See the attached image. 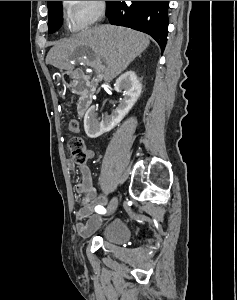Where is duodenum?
I'll return each instance as SVG.
<instances>
[{
	"instance_id": "410a0bca",
	"label": "duodenum",
	"mask_w": 237,
	"mask_h": 300,
	"mask_svg": "<svg viewBox=\"0 0 237 300\" xmlns=\"http://www.w3.org/2000/svg\"><path fill=\"white\" fill-rule=\"evenodd\" d=\"M66 84L78 94L79 101L77 112L80 117L84 116L92 105L96 88L86 75L80 70H71L65 76Z\"/></svg>"
}]
</instances>
